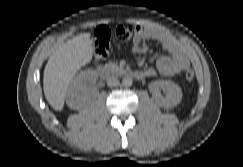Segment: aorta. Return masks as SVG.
<instances>
[{"instance_id":"obj_1","label":"aorta","mask_w":243,"mask_h":167,"mask_svg":"<svg viewBox=\"0 0 243 167\" xmlns=\"http://www.w3.org/2000/svg\"><path fill=\"white\" fill-rule=\"evenodd\" d=\"M132 84H133V79H132L131 76H125V77H123V79H122V85L124 87H130V86H132Z\"/></svg>"}]
</instances>
